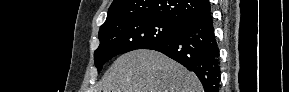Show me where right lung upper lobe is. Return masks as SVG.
Instances as JSON below:
<instances>
[{"mask_svg":"<svg viewBox=\"0 0 289 92\" xmlns=\"http://www.w3.org/2000/svg\"><path fill=\"white\" fill-rule=\"evenodd\" d=\"M208 10V0H114L100 29L119 21L145 17L182 23Z\"/></svg>","mask_w":289,"mask_h":92,"instance_id":"cb5924a9","label":"right lung upper lobe"}]
</instances>
